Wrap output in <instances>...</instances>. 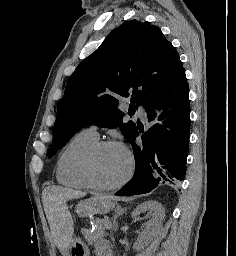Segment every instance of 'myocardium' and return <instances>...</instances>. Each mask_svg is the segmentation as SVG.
<instances>
[{
    "mask_svg": "<svg viewBox=\"0 0 236 256\" xmlns=\"http://www.w3.org/2000/svg\"><path fill=\"white\" fill-rule=\"evenodd\" d=\"M109 147H120L127 157V171L122 179L110 186H102L95 180L93 166L97 155ZM134 172V159L129 149L117 141H100L88 153L83 165V176L89 188L99 193H110L122 188L131 179Z\"/></svg>",
    "mask_w": 236,
    "mask_h": 256,
    "instance_id": "f54148a6",
    "label": "myocardium"
}]
</instances>
